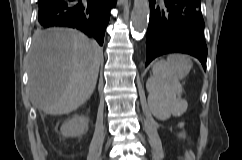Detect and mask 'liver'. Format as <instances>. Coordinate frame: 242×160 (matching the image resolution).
Returning a JSON list of instances; mask_svg holds the SVG:
<instances>
[{"mask_svg":"<svg viewBox=\"0 0 242 160\" xmlns=\"http://www.w3.org/2000/svg\"><path fill=\"white\" fill-rule=\"evenodd\" d=\"M102 56L99 44L79 31L36 33L28 57L33 106L49 115L75 111L95 89Z\"/></svg>","mask_w":242,"mask_h":160,"instance_id":"obj_1","label":"liver"}]
</instances>
